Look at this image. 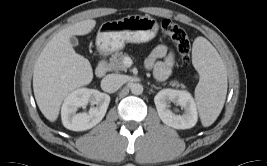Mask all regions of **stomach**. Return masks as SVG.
Instances as JSON below:
<instances>
[{"instance_id": "obj_1", "label": "stomach", "mask_w": 267, "mask_h": 166, "mask_svg": "<svg viewBox=\"0 0 267 166\" xmlns=\"http://www.w3.org/2000/svg\"><path fill=\"white\" fill-rule=\"evenodd\" d=\"M159 26L149 16L128 15L119 20L104 22L96 37L100 53H112L124 48L126 42L143 43L152 40Z\"/></svg>"}]
</instances>
